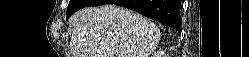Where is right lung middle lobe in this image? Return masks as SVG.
Here are the masks:
<instances>
[{
	"label": "right lung middle lobe",
	"instance_id": "obj_1",
	"mask_svg": "<svg viewBox=\"0 0 249 57\" xmlns=\"http://www.w3.org/2000/svg\"><path fill=\"white\" fill-rule=\"evenodd\" d=\"M91 0H70L67 8V19L77 10L88 6Z\"/></svg>",
	"mask_w": 249,
	"mask_h": 57
}]
</instances>
